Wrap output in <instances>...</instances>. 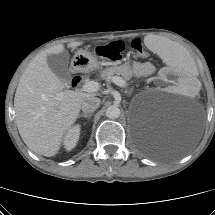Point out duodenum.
<instances>
[{
	"mask_svg": "<svg viewBox=\"0 0 215 215\" xmlns=\"http://www.w3.org/2000/svg\"><path fill=\"white\" fill-rule=\"evenodd\" d=\"M81 81H82L81 76H79V75H74V77H73V79H72L73 85H78Z\"/></svg>",
	"mask_w": 215,
	"mask_h": 215,
	"instance_id": "obj_1",
	"label": "duodenum"
}]
</instances>
